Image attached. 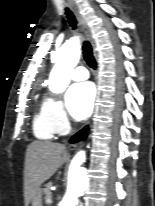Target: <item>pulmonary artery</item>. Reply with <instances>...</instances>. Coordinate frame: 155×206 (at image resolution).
<instances>
[{
	"mask_svg": "<svg viewBox=\"0 0 155 206\" xmlns=\"http://www.w3.org/2000/svg\"><path fill=\"white\" fill-rule=\"evenodd\" d=\"M89 77L88 71L85 67L79 66L72 73V79L75 81L86 80Z\"/></svg>",
	"mask_w": 155,
	"mask_h": 206,
	"instance_id": "1",
	"label": "pulmonary artery"
}]
</instances>
